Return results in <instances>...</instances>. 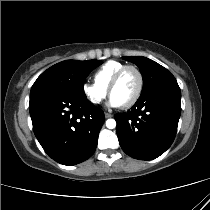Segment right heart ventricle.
<instances>
[{"instance_id": "1", "label": "right heart ventricle", "mask_w": 210, "mask_h": 210, "mask_svg": "<svg viewBox=\"0 0 210 210\" xmlns=\"http://www.w3.org/2000/svg\"><path fill=\"white\" fill-rule=\"evenodd\" d=\"M124 65V63L115 60L107 61L93 74L95 84L108 90L110 82L115 73Z\"/></svg>"}]
</instances>
